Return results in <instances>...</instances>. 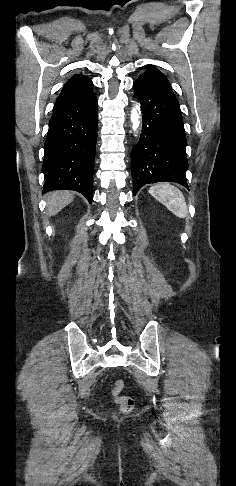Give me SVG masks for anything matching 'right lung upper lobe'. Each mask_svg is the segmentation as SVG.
<instances>
[{
    "instance_id": "1",
    "label": "right lung upper lobe",
    "mask_w": 236,
    "mask_h": 486,
    "mask_svg": "<svg viewBox=\"0 0 236 486\" xmlns=\"http://www.w3.org/2000/svg\"><path fill=\"white\" fill-rule=\"evenodd\" d=\"M93 83L84 75H74L64 85L56 104L83 99L92 93Z\"/></svg>"
}]
</instances>
